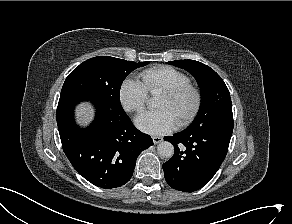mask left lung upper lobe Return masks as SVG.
<instances>
[{"instance_id": "1", "label": "left lung upper lobe", "mask_w": 292, "mask_h": 224, "mask_svg": "<svg viewBox=\"0 0 292 224\" xmlns=\"http://www.w3.org/2000/svg\"><path fill=\"white\" fill-rule=\"evenodd\" d=\"M168 64L187 70L194 76L200 87V108L196 118L186 130L202 131L214 125L233 123L229 90L213 69L194 60H176Z\"/></svg>"}]
</instances>
